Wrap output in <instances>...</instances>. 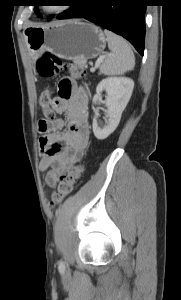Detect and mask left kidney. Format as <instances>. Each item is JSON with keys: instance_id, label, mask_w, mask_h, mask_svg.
I'll list each match as a JSON object with an SVG mask.
<instances>
[{"instance_id": "5707ae66", "label": "left kidney", "mask_w": 181, "mask_h": 300, "mask_svg": "<svg viewBox=\"0 0 181 300\" xmlns=\"http://www.w3.org/2000/svg\"><path fill=\"white\" fill-rule=\"evenodd\" d=\"M133 88L134 81L127 77H108L97 85L93 103L101 102L107 107L106 125L100 127L97 118L93 119V132L98 140L106 139L117 128ZM104 90L107 95L105 101H102L101 93Z\"/></svg>"}]
</instances>
